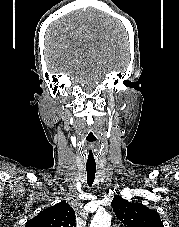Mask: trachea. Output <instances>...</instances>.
Returning <instances> with one entry per match:
<instances>
[{
	"label": "trachea",
	"instance_id": "3493384b",
	"mask_svg": "<svg viewBox=\"0 0 179 227\" xmlns=\"http://www.w3.org/2000/svg\"><path fill=\"white\" fill-rule=\"evenodd\" d=\"M87 157H88V159L86 160L87 183L89 186H92L96 173L95 151L89 150Z\"/></svg>",
	"mask_w": 179,
	"mask_h": 227
}]
</instances>
